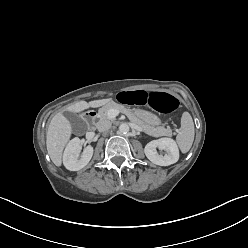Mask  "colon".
<instances>
[{"label":"colon","mask_w":248,"mask_h":248,"mask_svg":"<svg viewBox=\"0 0 248 248\" xmlns=\"http://www.w3.org/2000/svg\"><path fill=\"white\" fill-rule=\"evenodd\" d=\"M121 104L150 105L161 113H172L178 108V100L165 92H149L145 90L121 91L117 95Z\"/></svg>","instance_id":"obj_1"}]
</instances>
